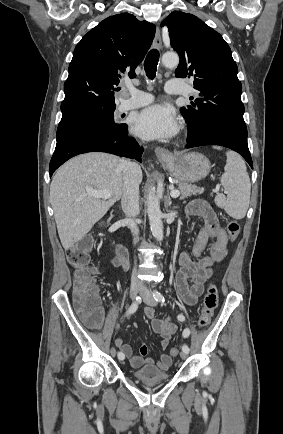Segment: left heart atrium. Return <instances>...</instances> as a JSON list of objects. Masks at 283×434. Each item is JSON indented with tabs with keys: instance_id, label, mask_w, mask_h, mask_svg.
Here are the masks:
<instances>
[{
	"instance_id": "obj_1",
	"label": "left heart atrium",
	"mask_w": 283,
	"mask_h": 434,
	"mask_svg": "<svg viewBox=\"0 0 283 434\" xmlns=\"http://www.w3.org/2000/svg\"><path fill=\"white\" fill-rule=\"evenodd\" d=\"M179 128L175 110L164 104H155L137 114L133 130L146 139H166L174 136Z\"/></svg>"
}]
</instances>
